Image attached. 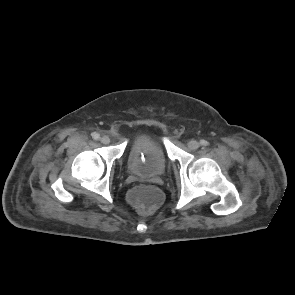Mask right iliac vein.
<instances>
[{"label": "right iliac vein", "mask_w": 295, "mask_h": 295, "mask_svg": "<svg viewBox=\"0 0 295 295\" xmlns=\"http://www.w3.org/2000/svg\"><path fill=\"white\" fill-rule=\"evenodd\" d=\"M100 141H101V143H103V144H109V143H110V138H109L108 136L104 135V136H102V137L100 138Z\"/></svg>", "instance_id": "1"}]
</instances>
